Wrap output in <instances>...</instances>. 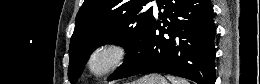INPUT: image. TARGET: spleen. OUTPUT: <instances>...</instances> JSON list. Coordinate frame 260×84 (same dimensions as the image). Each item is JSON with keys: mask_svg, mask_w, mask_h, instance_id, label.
I'll return each mask as SVG.
<instances>
[{"mask_svg": "<svg viewBox=\"0 0 260 84\" xmlns=\"http://www.w3.org/2000/svg\"><path fill=\"white\" fill-rule=\"evenodd\" d=\"M167 78L171 81L172 84H189V82L182 78H176L168 75Z\"/></svg>", "mask_w": 260, "mask_h": 84, "instance_id": "spleen-1", "label": "spleen"}]
</instances>
